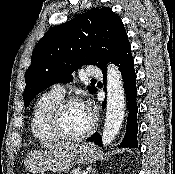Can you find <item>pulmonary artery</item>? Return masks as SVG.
I'll return each mask as SVG.
<instances>
[{"label":"pulmonary artery","instance_id":"pulmonary-artery-1","mask_svg":"<svg viewBox=\"0 0 175 174\" xmlns=\"http://www.w3.org/2000/svg\"><path fill=\"white\" fill-rule=\"evenodd\" d=\"M86 73L88 76H101V70L98 67L93 66V65H90L87 67ZM52 91L61 95V96L65 92L64 87L61 84H55L52 87Z\"/></svg>","mask_w":175,"mask_h":174}]
</instances>
